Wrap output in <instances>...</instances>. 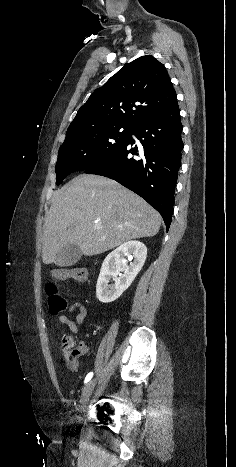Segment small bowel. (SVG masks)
<instances>
[{"label": "small bowel", "instance_id": "1", "mask_svg": "<svg viewBox=\"0 0 236 467\" xmlns=\"http://www.w3.org/2000/svg\"><path fill=\"white\" fill-rule=\"evenodd\" d=\"M66 310L68 312H77L76 317L74 320L68 318L65 314H60L58 316V321L62 324L67 325L69 330L76 334L79 331V328L83 325L86 317H87V310L85 306L80 302H74L66 306ZM88 350L87 346L83 347L82 352H86Z\"/></svg>", "mask_w": 236, "mask_h": 467}]
</instances>
